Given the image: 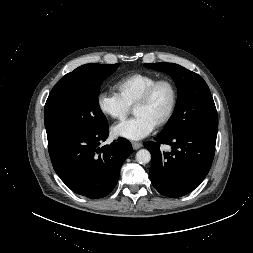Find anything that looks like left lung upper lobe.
I'll return each mask as SVG.
<instances>
[{
  "instance_id": "1",
  "label": "left lung upper lobe",
  "mask_w": 253,
  "mask_h": 253,
  "mask_svg": "<svg viewBox=\"0 0 253 253\" xmlns=\"http://www.w3.org/2000/svg\"><path fill=\"white\" fill-rule=\"evenodd\" d=\"M144 66L166 72L173 78L178 88L176 109L160 136L173 137L188 131L217 134L216 107L209 87L201 76L174 63H154Z\"/></svg>"
}]
</instances>
